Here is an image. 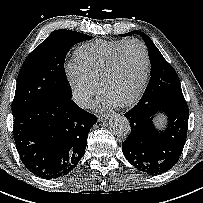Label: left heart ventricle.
Returning <instances> with one entry per match:
<instances>
[{
    "mask_svg": "<svg viewBox=\"0 0 203 203\" xmlns=\"http://www.w3.org/2000/svg\"><path fill=\"white\" fill-rule=\"evenodd\" d=\"M144 54L137 44L127 45L120 53L115 70L107 80L103 93L118 103L137 91L144 72Z\"/></svg>",
    "mask_w": 203,
    "mask_h": 203,
    "instance_id": "1",
    "label": "left heart ventricle"
}]
</instances>
